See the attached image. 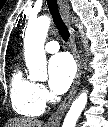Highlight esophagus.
<instances>
[{
    "label": "esophagus",
    "instance_id": "34e87169",
    "mask_svg": "<svg viewBox=\"0 0 108 127\" xmlns=\"http://www.w3.org/2000/svg\"><path fill=\"white\" fill-rule=\"evenodd\" d=\"M58 4H59L62 19H63L64 23L66 24L68 31H69V34H70L71 48H72V52H73V55L75 57V60L77 62V68L78 69H77L76 76L74 78L72 87H71L68 95L65 97V99L62 101V103L59 105L57 110L48 119L47 124L49 127H57L60 125V122H61L65 112L67 111L71 101L73 100L75 94L78 91L80 81H81V75H82V61H81L79 52L76 48L75 34H74V31L71 27V23L69 20L67 3L64 0H58Z\"/></svg>",
    "mask_w": 108,
    "mask_h": 127
}]
</instances>
